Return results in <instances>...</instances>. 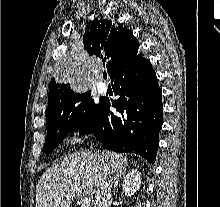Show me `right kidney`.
Instances as JSON below:
<instances>
[{"label":"right kidney","mask_w":220,"mask_h":207,"mask_svg":"<svg viewBox=\"0 0 220 207\" xmlns=\"http://www.w3.org/2000/svg\"><path fill=\"white\" fill-rule=\"evenodd\" d=\"M141 173L137 170L129 172L123 181L122 189L126 196L131 197L140 187Z\"/></svg>","instance_id":"ca27d5eb"}]
</instances>
